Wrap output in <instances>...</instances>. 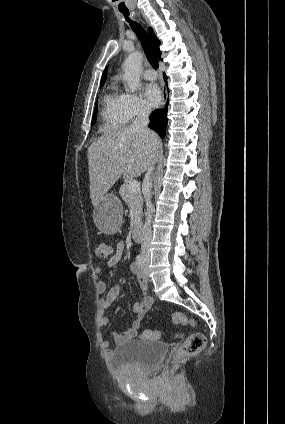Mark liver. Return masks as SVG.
I'll return each instance as SVG.
<instances>
[{"mask_svg": "<svg viewBox=\"0 0 285 424\" xmlns=\"http://www.w3.org/2000/svg\"><path fill=\"white\" fill-rule=\"evenodd\" d=\"M159 145L155 133L148 136L131 126L109 132L94 141L87 154L92 205L95 207L122 175L133 178L144 173Z\"/></svg>", "mask_w": 285, "mask_h": 424, "instance_id": "obj_1", "label": "liver"}]
</instances>
